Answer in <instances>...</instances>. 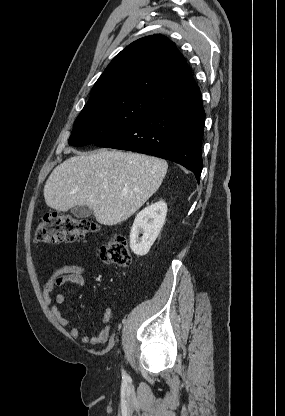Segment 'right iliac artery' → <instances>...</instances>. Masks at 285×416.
<instances>
[{
    "label": "right iliac artery",
    "mask_w": 285,
    "mask_h": 416,
    "mask_svg": "<svg viewBox=\"0 0 285 416\" xmlns=\"http://www.w3.org/2000/svg\"><path fill=\"white\" fill-rule=\"evenodd\" d=\"M122 374H123V378H127V375L124 371L122 372Z\"/></svg>",
    "instance_id": "1"
}]
</instances>
